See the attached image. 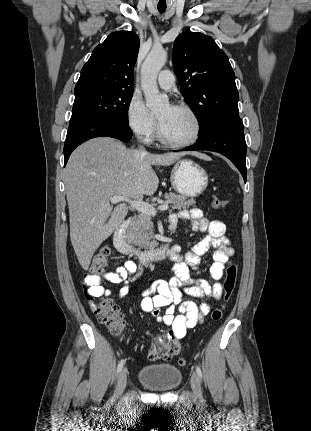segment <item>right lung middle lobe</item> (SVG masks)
<instances>
[{
    "mask_svg": "<svg viewBox=\"0 0 311 431\" xmlns=\"http://www.w3.org/2000/svg\"><path fill=\"white\" fill-rule=\"evenodd\" d=\"M74 94L70 123L85 118H107L128 123V108L133 91L87 88Z\"/></svg>",
    "mask_w": 311,
    "mask_h": 431,
    "instance_id": "right-lung-middle-lobe-1",
    "label": "right lung middle lobe"
}]
</instances>
